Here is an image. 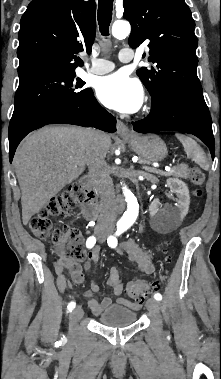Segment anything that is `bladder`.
I'll return each instance as SVG.
<instances>
[{
    "label": "bladder",
    "instance_id": "1",
    "mask_svg": "<svg viewBox=\"0 0 221 379\" xmlns=\"http://www.w3.org/2000/svg\"><path fill=\"white\" fill-rule=\"evenodd\" d=\"M98 322L108 327H125L137 320V313L122 305H111L97 318Z\"/></svg>",
    "mask_w": 221,
    "mask_h": 379
}]
</instances>
